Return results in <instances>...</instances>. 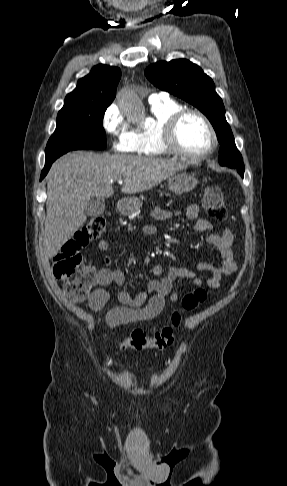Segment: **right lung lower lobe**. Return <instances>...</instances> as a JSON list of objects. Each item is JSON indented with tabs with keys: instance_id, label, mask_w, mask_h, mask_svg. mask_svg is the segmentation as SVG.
I'll use <instances>...</instances> for the list:
<instances>
[{
	"instance_id": "obj_1",
	"label": "right lung lower lobe",
	"mask_w": 287,
	"mask_h": 486,
	"mask_svg": "<svg viewBox=\"0 0 287 486\" xmlns=\"http://www.w3.org/2000/svg\"><path fill=\"white\" fill-rule=\"evenodd\" d=\"M53 162L54 161L45 162L44 169L41 172L40 180H42L46 176Z\"/></svg>"
}]
</instances>
